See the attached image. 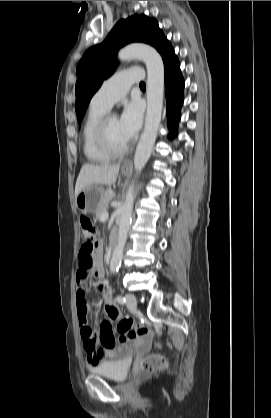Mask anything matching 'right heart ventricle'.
I'll use <instances>...</instances> for the list:
<instances>
[{
  "mask_svg": "<svg viewBox=\"0 0 271 418\" xmlns=\"http://www.w3.org/2000/svg\"><path fill=\"white\" fill-rule=\"evenodd\" d=\"M108 109L91 104L82 128V146L85 157L92 163H104L111 156L102 152L95 142V130Z\"/></svg>",
  "mask_w": 271,
  "mask_h": 418,
  "instance_id": "obj_1",
  "label": "right heart ventricle"
}]
</instances>
